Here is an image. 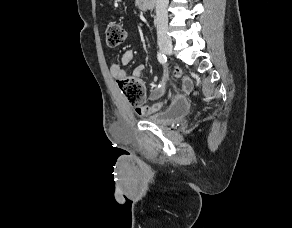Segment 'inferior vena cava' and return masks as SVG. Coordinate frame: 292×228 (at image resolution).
<instances>
[{
    "label": "inferior vena cava",
    "instance_id": "inferior-vena-cava-1",
    "mask_svg": "<svg viewBox=\"0 0 292 228\" xmlns=\"http://www.w3.org/2000/svg\"><path fill=\"white\" fill-rule=\"evenodd\" d=\"M169 0H156V26L158 41H169L168 32V7Z\"/></svg>",
    "mask_w": 292,
    "mask_h": 228
}]
</instances>
